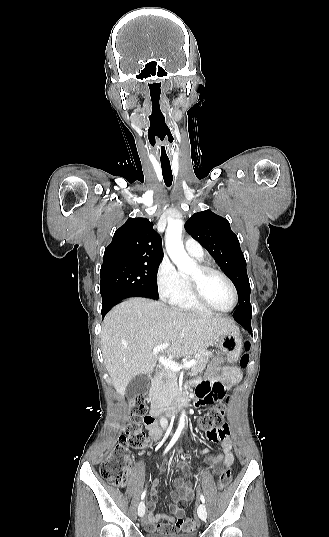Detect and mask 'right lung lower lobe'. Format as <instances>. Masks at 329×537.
<instances>
[{
	"label": "right lung lower lobe",
	"instance_id": "right-lung-lower-lobe-1",
	"mask_svg": "<svg viewBox=\"0 0 329 537\" xmlns=\"http://www.w3.org/2000/svg\"><path fill=\"white\" fill-rule=\"evenodd\" d=\"M133 296H142L135 293L130 292H122V291H108L105 294L102 295V317L106 315V313L110 310V308L119 303L121 300L133 297ZM146 297V296H143Z\"/></svg>",
	"mask_w": 329,
	"mask_h": 537
}]
</instances>
